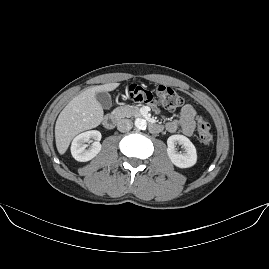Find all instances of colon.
<instances>
[{"label":"colon","mask_w":269,"mask_h":269,"mask_svg":"<svg viewBox=\"0 0 269 269\" xmlns=\"http://www.w3.org/2000/svg\"><path fill=\"white\" fill-rule=\"evenodd\" d=\"M126 96L131 101L158 105L168 110H175L183 104L181 94L166 84H157L152 90L131 84L126 89ZM196 136L204 145H211L214 142L210 124L203 117L196 119Z\"/></svg>","instance_id":"obj_1"}]
</instances>
